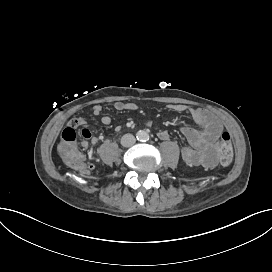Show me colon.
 I'll return each mask as SVG.
<instances>
[{"instance_id": "colon-1", "label": "colon", "mask_w": 272, "mask_h": 272, "mask_svg": "<svg viewBox=\"0 0 272 272\" xmlns=\"http://www.w3.org/2000/svg\"><path fill=\"white\" fill-rule=\"evenodd\" d=\"M78 134L74 128L68 127L59 134L58 157L61 161L66 162L67 166L73 171L84 172L85 159L82 151L78 146ZM212 155L218 157L219 161L228 164L232 161L233 147L231 137L224 132L220 135Z\"/></svg>"}]
</instances>
